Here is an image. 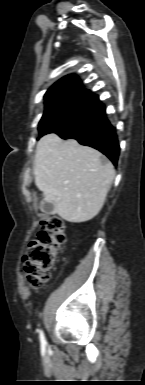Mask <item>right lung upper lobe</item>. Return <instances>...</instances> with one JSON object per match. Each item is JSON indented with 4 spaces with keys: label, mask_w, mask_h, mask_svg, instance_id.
Instances as JSON below:
<instances>
[{
    "label": "right lung upper lobe",
    "mask_w": 145,
    "mask_h": 385,
    "mask_svg": "<svg viewBox=\"0 0 145 385\" xmlns=\"http://www.w3.org/2000/svg\"><path fill=\"white\" fill-rule=\"evenodd\" d=\"M75 91H87L86 89H83V86L80 82V80L74 76L69 75L66 77H63L58 82H56L49 90L46 92L44 98L46 102L53 99L56 96L69 93V92H75Z\"/></svg>",
    "instance_id": "1"
}]
</instances>
